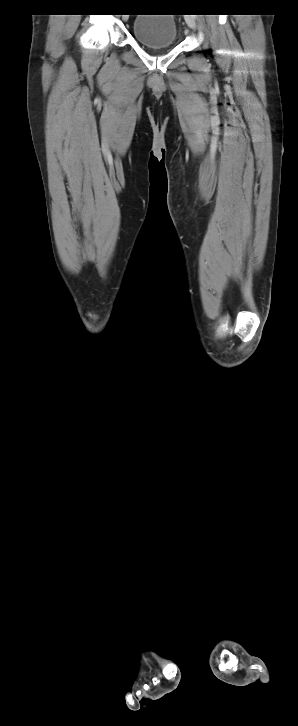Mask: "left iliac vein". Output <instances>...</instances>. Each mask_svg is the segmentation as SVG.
<instances>
[{
  "label": "left iliac vein",
  "instance_id": "1",
  "mask_svg": "<svg viewBox=\"0 0 298 726\" xmlns=\"http://www.w3.org/2000/svg\"><path fill=\"white\" fill-rule=\"evenodd\" d=\"M185 20L189 28L194 29L196 27L194 16H187ZM186 33H188V31H186Z\"/></svg>",
  "mask_w": 298,
  "mask_h": 726
}]
</instances>
